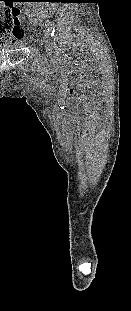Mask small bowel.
Returning a JSON list of instances; mask_svg holds the SVG:
<instances>
[{
  "label": "small bowel",
  "mask_w": 131,
  "mask_h": 311,
  "mask_svg": "<svg viewBox=\"0 0 131 311\" xmlns=\"http://www.w3.org/2000/svg\"><path fill=\"white\" fill-rule=\"evenodd\" d=\"M32 17L35 20H41L44 17V13H34ZM12 37L11 41H19L21 43H29L34 40V34L25 33V30L22 28H16L10 32L1 31L0 32V41L6 42L8 38Z\"/></svg>",
  "instance_id": "1"
}]
</instances>
